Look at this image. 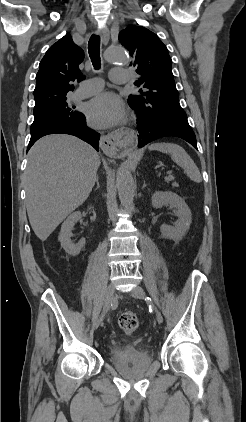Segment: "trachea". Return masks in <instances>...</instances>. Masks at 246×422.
<instances>
[{
	"instance_id": "obj_1",
	"label": "trachea",
	"mask_w": 246,
	"mask_h": 422,
	"mask_svg": "<svg viewBox=\"0 0 246 422\" xmlns=\"http://www.w3.org/2000/svg\"><path fill=\"white\" fill-rule=\"evenodd\" d=\"M88 52L95 69H100V36L91 35L88 42Z\"/></svg>"
}]
</instances>
